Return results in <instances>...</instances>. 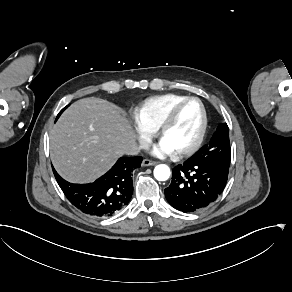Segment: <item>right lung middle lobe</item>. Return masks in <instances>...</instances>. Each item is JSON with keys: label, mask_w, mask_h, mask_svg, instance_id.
<instances>
[{"label": "right lung middle lobe", "mask_w": 292, "mask_h": 292, "mask_svg": "<svg viewBox=\"0 0 292 292\" xmlns=\"http://www.w3.org/2000/svg\"><path fill=\"white\" fill-rule=\"evenodd\" d=\"M63 110H64V109H63ZM63 110H62V111H63ZM62 111L60 112V114L62 113ZM60 114H59V115H60ZM59 115H58V117H59ZM58 117H57V118H58Z\"/></svg>", "instance_id": "1"}]
</instances>
